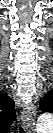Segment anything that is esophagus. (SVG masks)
Instances as JSON below:
<instances>
[{"mask_svg":"<svg viewBox=\"0 0 53 133\" xmlns=\"http://www.w3.org/2000/svg\"><path fill=\"white\" fill-rule=\"evenodd\" d=\"M22 122L29 133L34 132L35 110L33 106L24 107L22 109Z\"/></svg>","mask_w":53,"mask_h":133,"instance_id":"1","label":"esophagus"}]
</instances>
